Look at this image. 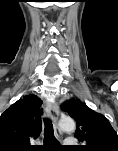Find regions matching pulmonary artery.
Returning a JSON list of instances; mask_svg holds the SVG:
<instances>
[{
	"instance_id": "pulmonary-artery-1",
	"label": "pulmonary artery",
	"mask_w": 118,
	"mask_h": 151,
	"mask_svg": "<svg viewBox=\"0 0 118 151\" xmlns=\"http://www.w3.org/2000/svg\"><path fill=\"white\" fill-rule=\"evenodd\" d=\"M64 143L67 145H73L76 143V140L74 138H67Z\"/></svg>"
}]
</instances>
